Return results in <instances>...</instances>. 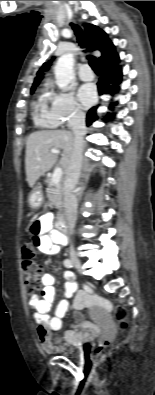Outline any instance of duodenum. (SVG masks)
Masks as SVG:
<instances>
[{"label": "duodenum", "instance_id": "duodenum-1", "mask_svg": "<svg viewBox=\"0 0 155 395\" xmlns=\"http://www.w3.org/2000/svg\"><path fill=\"white\" fill-rule=\"evenodd\" d=\"M57 229L61 233L62 236L65 237V233L67 231V223L64 218H59L57 221Z\"/></svg>", "mask_w": 155, "mask_h": 395}]
</instances>
